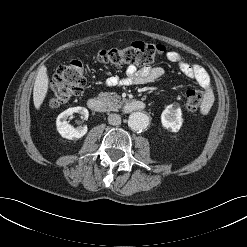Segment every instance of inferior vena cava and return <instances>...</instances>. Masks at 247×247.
<instances>
[{"label": "inferior vena cava", "mask_w": 247, "mask_h": 247, "mask_svg": "<svg viewBox=\"0 0 247 247\" xmlns=\"http://www.w3.org/2000/svg\"><path fill=\"white\" fill-rule=\"evenodd\" d=\"M108 122L110 125H120L121 124V117L118 114L111 113L108 116Z\"/></svg>", "instance_id": "obj_1"}]
</instances>
